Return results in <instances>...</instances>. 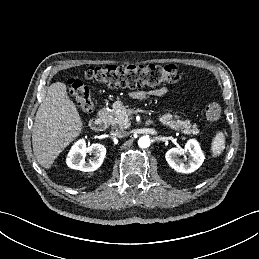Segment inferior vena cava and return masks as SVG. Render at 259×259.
Instances as JSON below:
<instances>
[{"instance_id": "602c4592", "label": "inferior vena cava", "mask_w": 259, "mask_h": 259, "mask_svg": "<svg viewBox=\"0 0 259 259\" xmlns=\"http://www.w3.org/2000/svg\"><path fill=\"white\" fill-rule=\"evenodd\" d=\"M113 135L117 138H123L128 135V133L125 130H116Z\"/></svg>"}]
</instances>
